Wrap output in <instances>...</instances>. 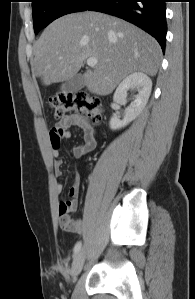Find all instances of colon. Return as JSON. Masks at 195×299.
<instances>
[{
	"mask_svg": "<svg viewBox=\"0 0 195 299\" xmlns=\"http://www.w3.org/2000/svg\"><path fill=\"white\" fill-rule=\"evenodd\" d=\"M48 103L56 118L75 113L99 121L103 110L102 104L84 91L58 94L50 97ZM68 213V207L61 211L62 215Z\"/></svg>",
	"mask_w": 195,
	"mask_h": 299,
	"instance_id": "5ec220e1",
	"label": "colon"
}]
</instances>
